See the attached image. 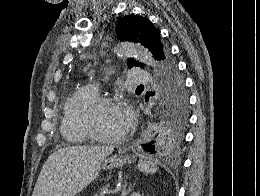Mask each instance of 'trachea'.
Masks as SVG:
<instances>
[{
    "label": "trachea",
    "mask_w": 260,
    "mask_h": 196,
    "mask_svg": "<svg viewBox=\"0 0 260 196\" xmlns=\"http://www.w3.org/2000/svg\"><path fill=\"white\" fill-rule=\"evenodd\" d=\"M137 88H144V85H138Z\"/></svg>",
    "instance_id": "1"
}]
</instances>
